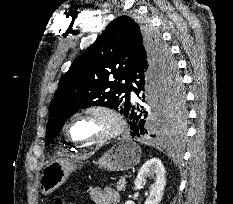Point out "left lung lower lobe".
<instances>
[{"instance_id": "1", "label": "left lung lower lobe", "mask_w": 233, "mask_h": 204, "mask_svg": "<svg viewBox=\"0 0 233 204\" xmlns=\"http://www.w3.org/2000/svg\"><path fill=\"white\" fill-rule=\"evenodd\" d=\"M129 79L130 83H133V85H130L129 93L130 91H134L143 103H147L145 98H149L150 96L154 105V108L150 110L144 104L139 106L131 104L125 111L124 116L128 118L131 135L141 137L149 134L151 137H157L161 134L175 131L177 127L166 125L163 114L161 85L156 73L145 62L144 53H139L130 71ZM177 130L182 131V127H178Z\"/></svg>"}]
</instances>
